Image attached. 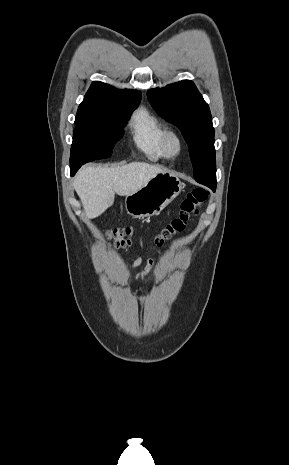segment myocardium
<instances>
[{"label": "myocardium", "mask_w": 289, "mask_h": 465, "mask_svg": "<svg viewBox=\"0 0 289 465\" xmlns=\"http://www.w3.org/2000/svg\"><path fill=\"white\" fill-rule=\"evenodd\" d=\"M174 145V149L172 146ZM183 139L174 129H166L162 138V150L166 158L174 159L178 157L183 150Z\"/></svg>", "instance_id": "myocardium-1"}]
</instances>
